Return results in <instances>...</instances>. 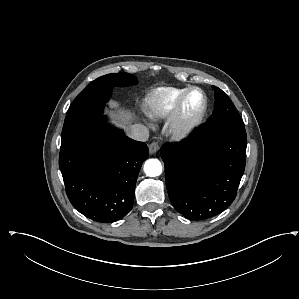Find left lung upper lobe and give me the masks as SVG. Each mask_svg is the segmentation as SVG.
Here are the masks:
<instances>
[{"label":"left lung upper lobe","mask_w":299,"mask_h":299,"mask_svg":"<svg viewBox=\"0 0 299 299\" xmlns=\"http://www.w3.org/2000/svg\"><path fill=\"white\" fill-rule=\"evenodd\" d=\"M215 91L214 111L207 123H235L244 125L233 102L227 94L213 86Z\"/></svg>","instance_id":"obj_1"}]
</instances>
